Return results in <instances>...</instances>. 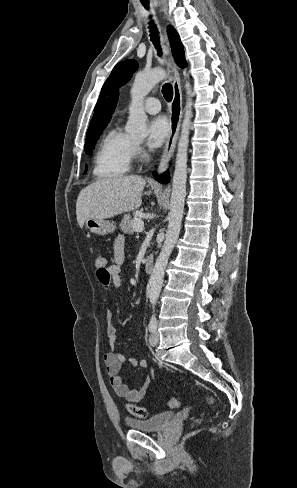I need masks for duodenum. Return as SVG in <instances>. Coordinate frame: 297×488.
I'll return each instance as SVG.
<instances>
[{
	"label": "duodenum",
	"mask_w": 297,
	"mask_h": 488,
	"mask_svg": "<svg viewBox=\"0 0 297 488\" xmlns=\"http://www.w3.org/2000/svg\"><path fill=\"white\" fill-rule=\"evenodd\" d=\"M154 257L153 255H148L145 259V270L150 271L153 268Z\"/></svg>",
	"instance_id": "duodenum-1"
}]
</instances>
